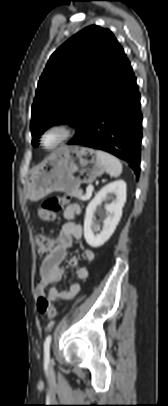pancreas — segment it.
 Here are the masks:
<instances>
[{"label":"pancreas","instance_id":"obj_1","mask_svg":"<svg viewBox=\"0 0 168 406\" xmlns=\"http://www.w3.org/2000/svg\"><path fill=\"white\" fill-rule=\"evenodd\" d=\"M68 195H70V196H72V197H75V198H77V199H79V200H83V198H84V196H83V194H82V191L79 190V189H76V190H73V191H71V192H68Z\"/></svg>","mask_w":168,"mask_h":406}]
</instances>
